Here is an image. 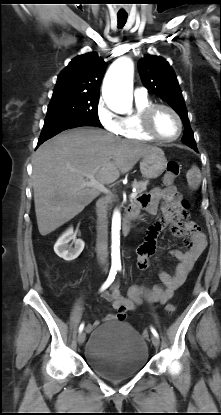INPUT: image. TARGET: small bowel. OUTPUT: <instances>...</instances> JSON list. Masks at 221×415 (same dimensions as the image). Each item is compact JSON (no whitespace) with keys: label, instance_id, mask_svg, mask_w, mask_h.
Returning <instances> with one entry per match:
<instances>
[{"label":"small bowel","instance_id":"small-bowel-1","mask_svg":"<svg viewBox=\"0 0 221 415\" xmlns=\"http://www.w3.org/2000/svg\"><path fill=\"white\" fill-rule=\"evenodd\" d=\"M133 206L138 212L143 209L151 215L156 214L160 207L164 213L162 219L148 228L144 242L137 249V267L139 269L145 270L150 267L149 258L155 252L157 237L168 225L171 226L174 235L186 238L187 250L172 252L178 260L175 273L170 274L159 270L161 284L155 285L150 290L134 285L129 289V295L124 296L120 291L118 280L111 287L104 289L102 297L111 302L116 312L108 313L102 320L94 321L88 325V330L99 326L102 322L124 320L126 311L136 309L144 301L160 304L168 302L174 291L184 283L195 262L206 248L205 235L199 231L196 224L186 221L190 215L189 210L188 207H185V202L181 201V196L175 186L155 188L149 193L141 194Z\"/></svg>","mask_w":221,"mask_h":415}]
</instances>
